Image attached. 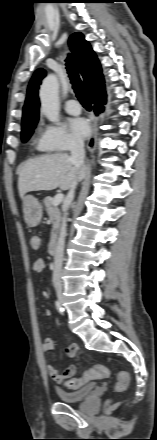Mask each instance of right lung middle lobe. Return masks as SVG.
<instances>
[{
  "label": "right lung middle lobe",
  "mask_w": 157,
  "mask_h": 440,
  "mask_svg": "<svg viewBox=\"0 0 157 440\" xmlns=\"http://www.w3.org/2000/svg\"><path fill=\"white\" fill-rule=\"evenodd\" d=\"M35 125H36V123L22 125L21 136H22L23 142H26L30 138V136L32 135L33 130L35 128Z\"/></svg>",
  "instance_id": "dd1d6c3e"
}]
</instances>
